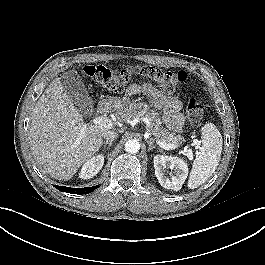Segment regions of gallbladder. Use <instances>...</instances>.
<instances>
[{
  "mask_svg": "<svg viewBox=\"0 0 265 265\" xmlns=\"http://www.w3.org/2000/svg\"><path fill=\"white\" fill-rule=\"evenodd\" d=\"M64 91L70 100L85 113L93 110V100L76 70L66 72L61 78Z\"/></svg>",
  "mask_w": 265,
  "mask_h": 265,
  "instance_id": "gallbladder-1",
  "label": "gallbladder"
}]
</instances>
